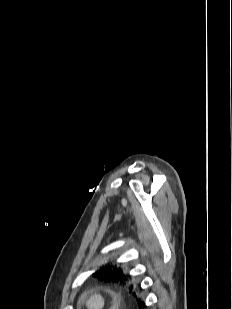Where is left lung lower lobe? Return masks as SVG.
I'll use <instances>...</instances> for the list:
<instances>
[{
    "label": "left lung lower lobe",
    "mask_w": 232,
    "mask_h": 309,
    "mask_svg": "<svg viewBox=\"0 0 232 309\" xmlns=\"http://www.w3.org/2000/svg\"><path fill=\"white\" fill-rule=\"evenodd\" d=\"M139 306V309H144L145 308V305H144V302H142Z\"/></svg>",
    "instance_id": "0a47b994"
}]
</instances>
